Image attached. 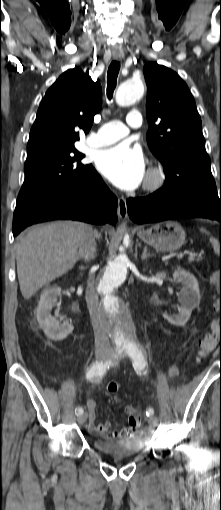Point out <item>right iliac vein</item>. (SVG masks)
I'll return each instance as SVG.
<instances>
[{"instance_id":"1","label":"right iliac vein","mask_w":221,"mask_h":510,"mask_svg":"<svg viewBox=\"0 0 221 510\" xmlns=\"http://www.w3.org/2000/svg\"><path fill=\"white\" fill-rule=\"evenodd\" d=\"M106 358H107V356L104 355V354H98L97 355V360L98 361H103ZM87 418H88V414H87V412H84V413L78 415L77 421H78L79 424H84L86 422Z\"/></svg>"}]
</instances>
